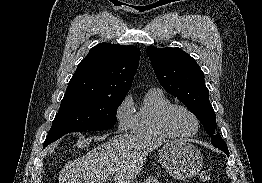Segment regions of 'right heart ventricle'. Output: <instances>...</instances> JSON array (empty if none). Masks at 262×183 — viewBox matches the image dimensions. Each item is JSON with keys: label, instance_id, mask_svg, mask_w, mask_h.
<instances>
[{"label": "right heart ventricle", "instance_id": "1", "mask_svg": "<svg viewBox=\"0 0 262 183\" xmlns=\"http://www.w3.org/2000/svg\"><path fill=\"white\" fill-rule=\"evenodd\" d=\"M171 104V100L161 90H149L133 115L132 133L151 138L174 137L162 125L163 112Z\"/></svg>", "mask_w": 262, "mask_h": 183}]
</instances>
